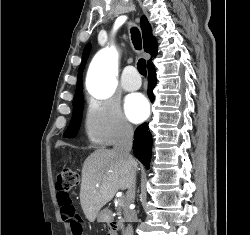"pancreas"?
Returning a JSON list of instances; mask_svg holds the SVG:
<instances>
[{
	"label": "pancreas",
	"instance_id": "pancreas-1",
	"mask_svg": "<svg viewBox=\"0 0 250 235\" xmlns=\"http://www.w3.org/2000/svg\"><path fill=\"white\" fill-rule=\"evenodd\" d=\"M118 205H119V208H118V213L117 214L119 215V214H121V209L124 206V198L123 197L119 200Z\"/></svg>",
	"mask_w": 250,
	"mask_h": 235
}]
</instances>
